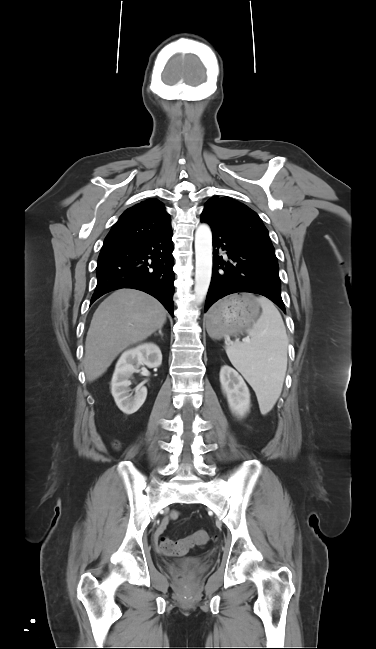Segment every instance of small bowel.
<instances>
[{"mask_svg":"<svg viewBox=\"0 0 376 649\" xmlns=\"http://www.w3.org/2000/svg\"><path fill=\"white\" fill-rule=\"evenodd\" d=\"M178 516H179L178 511H173V512L171 513V518H172V519H176Z\"/></svg>","mask_w":376,"mask_h":649,"instance_id":"1","label":"small bowel"}]
</instances>
